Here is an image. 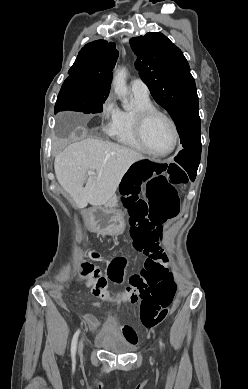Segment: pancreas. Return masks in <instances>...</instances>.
<instances>
[{
  "label": "pancreas",
  "mask_w": 248,
  "mask_h": 389,
  "mask_svg": "<svg viewBox=\"0 0 248 389\" xmlns=\"http://www.w3.org/2000/svg\"><path fill=\"white\" fill-rule=\"evenodd\" d=\"M117 197L113 196V198L105 205V209L107 213H115L114 208L117 206Z\"/></svg>",
  "instance_id": "obj_1"
}]
</instances>
